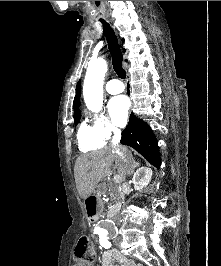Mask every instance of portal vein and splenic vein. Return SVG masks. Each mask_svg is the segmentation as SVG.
Here are the masks:
<instances>
[{
  "label": "portal vein and splenic vein",
  "instance_id": "obj_1",
  "mask_svg": "<svg viewBox=\"0 0 221 266\" xmlns=\"http://www.w3.org/2000/svg\"><path fill=\"white\" fill-rule=\"evenodd\" d=\"M113 180H114L115 183H120L121 182L120 175H115L114 178H113Z\"/></svg>",
  "mask_w": 221,
  "mask_h": 266
}]
</instances>
